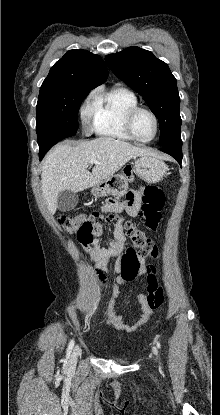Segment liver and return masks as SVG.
Instances as JSON below:
<instances>
[{
	"instance_id": "6515ba94",
	"label": "liver",
	"mask_w": 220,
	"mask_h": 415,
	"mask_svg": "<svg viewBox=\"0 0 220 415\" xmlns=\"http://www.w3.org/2000/svg\"><path fill=\"white\" fill-rule=\"evenodd\" d=\"M153 156L143 148L111 137H99L76 146L61 144L46 156L42 167V194L48 210L54 214L57 196L68 190L80 192L111 177L130 159ZM91 159H96L92 172L88 171Z\"/></svg>"
}]
</instances>
